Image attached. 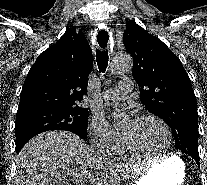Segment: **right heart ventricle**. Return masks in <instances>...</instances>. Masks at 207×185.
<instances>
[{"mask_svg": "<svg viewBox=\"0 0 207 185\" xmlns=\"http://www.w3.org/2000/svg\"><path fill=\"white\" fill-rule=\"evenodd\" d=\"M108 155H110L113 159L116 160H124V159H129L134 156L130 155L127 153L125 150L122 140L119 139L108 151Z\"/></svg>", "mask_w": 207, "mask_h": 185, "instance_id": "obj_1", "label": "right heart ventricle"}]
</instances>
